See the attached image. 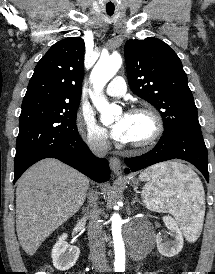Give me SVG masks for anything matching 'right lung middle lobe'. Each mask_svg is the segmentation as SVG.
Here are the masks:
<instances>
[{"instance_id": "1", "label": "right lung middle lobe", "mask_w": 215, "mask_h": 274, "mask_svg": "<svg viewBox=\"0 0 215 274\" xmlns=\"http://www.w3.org/2000/svg\"><path fill=\"white\" fill-rule=\"evenodd\" d=\"M79 102L36 100L22 104L16 142L15 167L40 149L78 135Z\"/></svg>"}]
</instances>
